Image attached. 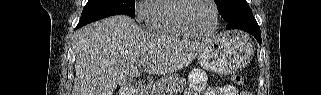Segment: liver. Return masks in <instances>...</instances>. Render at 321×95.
<instances>
[{
	"label": "liver",
	"instance_id": "6515ba94",
	"mask_svg": "<svg viewBox=\"0 0 321 95\" xmlns=\"http://www.w3.org/2000/svg\"><path fill=\"white\" fill-rule=\"evenodd\" d=\"M206 42L149 34L125 15L113 16L76 32L72 95H113L117 85L140 75L167 74L188 65Z\"/></svg>",
	"mask_w": 321,
	"mask_h": 95
}]
</instances>
